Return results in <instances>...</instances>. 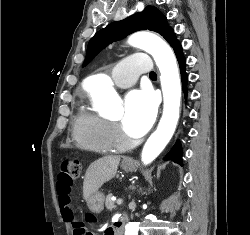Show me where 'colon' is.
<instances>
[{"mask_svg":"<svg viewBox=\"0 0 250 235\" xmlns=\"http://www.w3.org/2000/svg\"><path fill=\"white\" fill-rule=\"evenodd\" d=\"M82 164L77 159H66L61 163L58 175V188L64 192H71L75 180L80 176ZM96 219V218H95ZM94 220V218H93ZM75 235H92L83 223L73 222Z\"/></svg>","mask_w":250,"mask_h":235,"instance_id":"colon-1","label":"colon"}]
</instances>
